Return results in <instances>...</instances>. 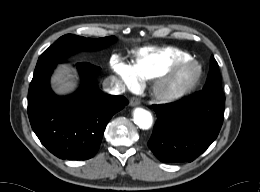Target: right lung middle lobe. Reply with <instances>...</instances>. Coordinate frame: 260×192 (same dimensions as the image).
Instances as JSON below:
<instances>
[{
    "instance_id": "1",
    "label": "right lung middle lobe",
    "mask_w": 260,
    "mask_h": 192,
    "mask_svg": "<svg viewBox=\"0 0 260 192\" xmlns=\"http://www.w3.org/2000/svg\"><path fill=\"white\" fill-rule=\"evenodd\" d=\"M115 41L114 36L90 39L73 34L60 37L53 45L46 49L38 59L36 70L54 62H61L69 55L80 50H98Z\"/></svg>"
}]
</instances>
